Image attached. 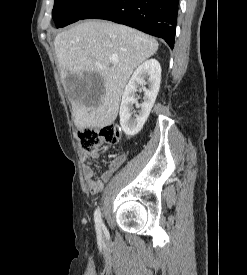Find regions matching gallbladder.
I'll return each instance as SVG.
<instances>
[{
    "mask_svg": "<svg viewBox=\"0 0 247 275\" xmlns=\"http://www.w3.org/2000/svg\"><path fill=\"white\" fill-rule=\"evenodd\" d=\"M67 87L84 101H88L93 94L103 93V81L99 74L86 72L71 74L66 78Z\"/></svg>",
    "mask_w": 247,
    "mask_h": 275,
    "instance_id": "bac80fb5",
    "label": "gallbladder"
}]
</instances>
